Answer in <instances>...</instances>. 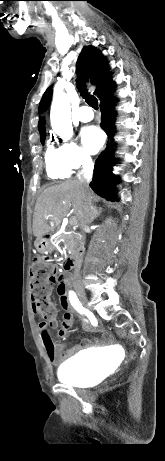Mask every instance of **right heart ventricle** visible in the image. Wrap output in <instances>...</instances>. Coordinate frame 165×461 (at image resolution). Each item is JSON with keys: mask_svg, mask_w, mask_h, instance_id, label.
Returning a JSON list of instances; mask_svg holds the SVG:
<instances>
[{"mask_svg": "<svg viewBox=\"0 0 165 461\" xmlns=\"http://www.w3.org/2000/svg\"><path fill=\"white\" fill-rule=\"evenodd\" d=\"M46 171L52 179H64L69 177L70 169L63 162L59 149L48 144L45 154Z\"/></svg>", "mask_w": 165, "mask_h": 461, "instance_id": "right-heart-ventricle-1", "label": "right heart ventricle"}]
</instances>
